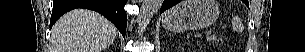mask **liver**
Returning a JSON list of instances; mask_svg holds the SVG:
<instances>
[{
    "label": "liver",
    "instance_id": "liver-1",
    "mask_svg": "<svg viewBox=\"0 0 305 52\" xmlns=\"http://www.w3.org/2000/svg\"><path fill=\"white\" fill-rule=\"evenodd\" d=\"M116 35V27L99 13L75 9L53 26L50 52H102Z\"/></svg>",
    "mask_w": 305,
    "mask_h": 52
}]
</instances>
